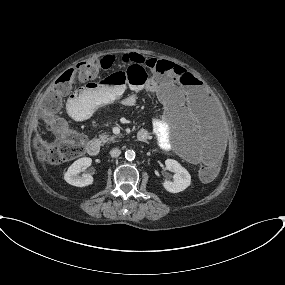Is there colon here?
<instances>
[{"label":"colon","instance_id":"obj_1","mask_svg":"<svg viewBox=\"0 0 285 285\" xmlns=\"http://www.w3.org/2000/svg\"><path fill=\"white\" fill-rule=\"evenodd\" d=\"M113 64L111 57L100 60L87 59L76 67L66 70L45 92L37 104L38 114L42 118H52L57 115L62 101L73 84L81 82L97 81L102 77L103 83L125 84L133 83L140 87L147 83V70L153 71L161 77L173 76L174 79L186 82L190 74L181 66L166 60L133 61L127 64L125 70L109 73ZM59 140L55 144L54 140ZM85 136L77 132L73 127L59 124V134L47 143L37 142L38 155L42 161L50 164H60L83 156L85 152ZM219 171V163L216 157L203 163L200 167L202 180L213 179Z\"/></svg>","mask_w":285,"mask_h":285}]
</instances>
